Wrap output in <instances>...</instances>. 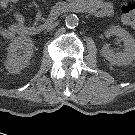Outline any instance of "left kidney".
<instances>
[{"label": "left kidney", "instance_id": "1", "mask_svg": "<svg viewBox=\"0 0 135 135\" xmlns=\"http://www.w3.org/2000/svg\"><path fill=\"white\" fill-rule=\"evenodd\" d=\"M109 32L118 36L124 42V51L122 53H114L106 44L101 49V54L112 65H128L135 59V39L123 28L119 26H111Z\"/></svg>", "mask_w": 135, "mask_h": 135}]
</instances>
